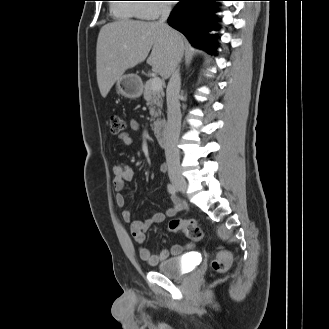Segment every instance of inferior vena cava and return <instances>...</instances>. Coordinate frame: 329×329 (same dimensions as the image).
Masks as SVG:
<instances>
[{
	"label": "inferior vena cava",
	"mask_w": 329,
	"mask_h": 329,
	"mask_svg": "<svg viewBox=\"0 0 329 329\" xmlns=\"http://www.w3.org/2000/svg\"><path fill=\"white\" fill-rule=\"evenodd\" d=\"M171 7L164 4L161 7V15L158 24L162 27L169 28L166 21L170 14ZM181 87L180 72L178 64L171 74L167 89V128L165 136V155L168 165V175L171 179L179 178L181 175L180 170V157L177 149V142L181 129V112L179 103V92Z\"/></svg>",
	"instance_id": "inferior-vena-cava-1"
}]
</instances>
